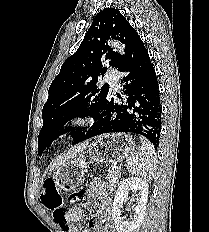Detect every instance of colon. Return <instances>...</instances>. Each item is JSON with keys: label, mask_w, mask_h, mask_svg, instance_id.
<instances>
[{"label": "colon", "mask_w": 209, "mask_h": 232, "mask_svg": "<svg viewBox=\"0 0 209 232\" xmlns=\"http://www.w3.org/2000/svg\"><path fill=\"white\" fill-rule=\"evenodd\" d=\"M40 202L52 213L58 226L66 227L67 221L63 209V197L52 179H46L40 195Z\"/></svg>", "instance_id": "obj_1"}]
</instances>
